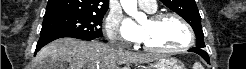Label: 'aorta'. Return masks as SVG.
Listing matches in <instances>:
<instances>
[{"label":"aorta","mask_w":246,"mask_h":69,"mask_svg":"<svg viewBox=\"0 0 246 69\" xmlns=\"http://www.w3.org/2000/svg\"><path fill=\"white\" fill-rule=\"evenodd\" d=\"M124 11L137 21L145 18V15L137 10V0H120Z\"/></svg>","instance_id":"762f6f07"}]
</instances>
